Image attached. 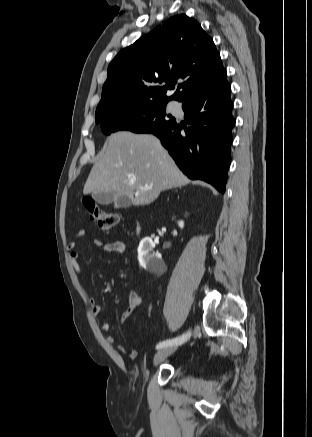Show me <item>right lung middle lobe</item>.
Masks as SVG:
<instances>
[{
    "mask_svg": "<svg viewBox=\"0 0 312 437\" xmlns=\"http://www.w3.org/2000/svg\"><path fill=\"white\" fill-rule=\"evenodd\" d=\"M167 102L156 101L122 107L96 120L107 135L116 131L134 133H153L162 130L175 122L165 113Z\"/></svg>",
    "mask_w": 312,
    "mask_h": 437,
    "instance_id": "1",
    "label": "right lung middle lobe"
}]
</instances>
